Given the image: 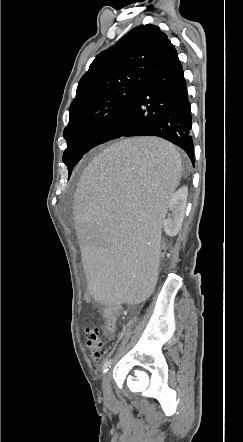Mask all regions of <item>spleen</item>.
I'll list each match as a JSON object with an SVG mask.
<instances>
[{
    "mask_svg": "<svg viewBox=\"0 0 243 442\" xmlns=\"http://www.w3.org/2000/svg\"><path fill=\"white\" fill-rule=\"evenodd\" d=\"M182 171L173 145L136 138L109 147L78 178L73 226L96 302L142 307L151 295L167 201Z\"/></svg>",
    "mask_w": 243,
    "mask_h": 442,
    "instance_id": "spleen-1",
    "label": "spleen"
}]
</instances>
